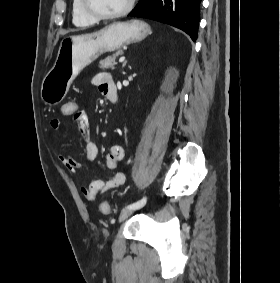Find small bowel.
<instances>
[{
    "label": "small bowel",
    "instance_id": "1",
    "mask_svg": "<svg viewBox=\"0 0 280 283\" xmlns=\"http://www.w3.org/2000/svg\"><path fill=\"white\" fill-rule=\"evenodd\" d=\"M113 79L109 74L102 73L94 78V83L98 86L100 92L107 96L109 83ZM73 117V121L77 124L85 127V155L87 160L93 161L98 154V147L94 141L90 139V132L87 130V125L89 122L88 113L85 110L81 112H76ZM50 126L53 130H58L61 126V121L58 118H53L50 120ZM124 158V149L120 145H113L110 148L108 155L106 156V166L109 169H115L119 162ZM60 162L70 173H75L77 170L85 167L83 163L77 162L69 155H60ZM125 181V175L122 172H117L114 176L108 180L96 179L89 183L88 186L81 188L84 197L88 201H94L99 194L106 193L114 188L119 187Z\"/></svg>",
    "mask_w": 280,
    "mask_h": 283
}]
</instances>
